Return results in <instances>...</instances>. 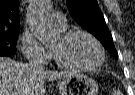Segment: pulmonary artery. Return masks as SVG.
Here are the masks:
<instances>
[{"label":"pulmonary artery","instance_id":"e3ab8cb5","mask_svg":"<svg viewBox=\"0 0 135 95\" xmlns=\"http://www.w3.org/2000/svg\"><path fill=\"white\" fill-rule=\"evenodd\" d=\"M52 24L53 26L59 28V29H64L66 28V18L64 14L59 13V12H54L52 14Z\"/></svg>","mask_w":135,"mask_h":95}]
</instances>
